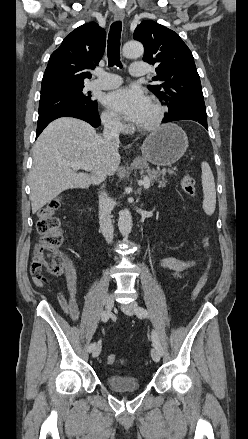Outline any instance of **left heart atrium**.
<instances>
[{
	"instance_id": "39dd6f15",
	"label": "left heart atrium",
	"mask_w": 248,
	"mask_h": 439,
	"mask_svg": "<svg viewBox=\"0 0 248 439\" xmlns=\"http://www.w3.org/2000/svg\"><path fill=\"white\" fill-rule=\"evenodd\" d=\"M104 104L125 119L138 122L148 104L149 99L139 87H122L108 93L103 100Z\"/></svg>"
}]
</instances>
